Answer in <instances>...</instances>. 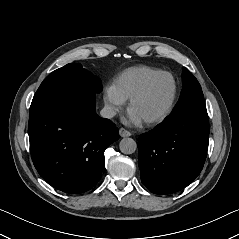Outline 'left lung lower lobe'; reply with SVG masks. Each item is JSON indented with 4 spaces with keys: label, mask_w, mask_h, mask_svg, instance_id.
<instances>
[{
    "label": "left lung lower lobe",
    "mask_w": 239,
    "mask_h": 239,
    "mask_svg": "<svg viewBox=\"0 0 239 239\" xmlns=\"http://www.w3.org/2000/svg\"><path fill=\"white\" fill-rule=\"evenodd\" d=\"M208 139L206 109L187 110L140 135L142 183L155 194H171L188 186L203 168Z\"/></svg>",
    "instance_id": "0a47b994"
}]
</instances>
